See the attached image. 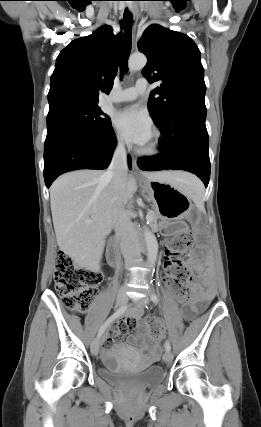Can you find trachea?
Instances as JSON below:
<instances>
[{"instance_id": "trachea-1", "label": "trachea", "mask_w": 261, "mask_h": 427, "mask_svg": "<svg viewBox=\"0 0 261 427\" xmlns=\"http://www.w3.org/2000/svg\"><path fill=\"white\" fill-rule=\"evenodd\" d=\"M124 20L126 23V29H125L122 51H121V56H120V64H119L121 75H123L127 71L128 59H129L130 52H131V41H132L131 20H132V15L127 9L124 12ZM122 24H124V22H122Z\"/></svg>"}]
</instances>
